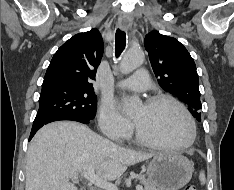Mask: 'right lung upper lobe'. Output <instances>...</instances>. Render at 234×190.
<instances>
[{
  "instance_id": "obj_1",
  "label": "right lung upper lobe",
  "mask_w": 234,
  "mask_h": 190,
  "mask_svg": "<svg viewBox=\"0 0 234 190\" xmlns=\"http://www.w3.org/2000/svg\"><path fill=\"white\" fill-rule=\"evenodd\" d=\"M103 39L97 29L79 33L54 54L42 86L66 85L93 89L96 69L103 55Z\"/></svg>"
}]
</instances>
